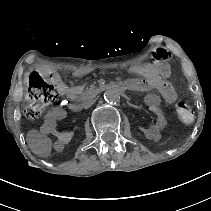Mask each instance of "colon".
<instances>
[{
  "label": "colon",
  "mask_w": 211,
  "mask_h": 211,
  "mask_svg": "<svg viewBox=\"0 0 211 211\" xmlns=\"http://www.w3.org/2000/svg\"><path fill=\"white\" fill-rule=\"evenodd\" d=\"M168 58V55L165 56ZM54 84L38 72H32L28 79L27 106L25 114L30 118L38 117L43 109L56 100ZM178 118L185 124H191L195 119L193 109L183 102L175 105Z\"/></svg>",
  "instance_id": "5ec220e1"
}]
</instances>
